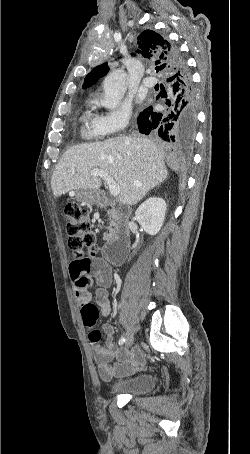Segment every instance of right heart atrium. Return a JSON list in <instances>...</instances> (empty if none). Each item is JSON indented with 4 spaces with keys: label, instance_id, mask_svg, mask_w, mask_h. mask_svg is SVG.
<instances>
[{
    "label": "right heart atrium",
    "instance_id": "1",
    "mask_svg": "<svg viewBox=\"0 0 250 454\" xmlns=\"http://www.w3.org/2000/svg\"><path fill=\"white\" fill-rule=\"evenodd\" d=\"M131 119V109L123 104L105 114L98 116L97 125L102 135L120 133L126 129Z\"/></svg>",
    "mask_w": 250,
    "mask_h": 454
}]
</instances>
